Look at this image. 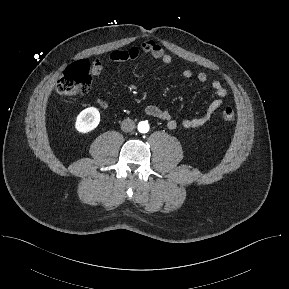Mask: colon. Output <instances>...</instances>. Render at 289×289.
I'll use <instances>...</instances> for the list:
<instances>
[{
	"label": "colon",
	"mask_w": 289,
	"mask_h": 289,
	"mask_svg": "<svg viewBox=\"0 0 289 289\" xmlns=\"http://www.w3.org/2000/svg\"><path fill=\"white\" fill-rule=\"evenodd\" d=\"M92 81L91 66L85 60L70 65L61 75L56 85V91L61 95H82L88 92ZM222 118L231 122L235 119V112L231 107L222 111Z\"/></svg>",
	"instance_id": "5ec220e1"
}]
</instances>
